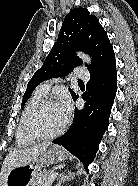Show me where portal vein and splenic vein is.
<instances>
[{
  "instance_id": "obj_1",
  "label": "portal vein and splenic vein",
  "mask_w": 138,
  "mask_h": 186,
  "mask_svg": "<svg viewBox=\"0 0 138 186\" xmlns=\"http://www.w3.org/2000/svg\"><path fill=\"white\" fill-rule=\"evenodd\" d=\"M57 175H58L57 172H53L52 174H50L48 180L52 182L57 177Z\"/></svg>"
}]
</instances>
